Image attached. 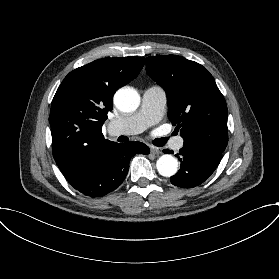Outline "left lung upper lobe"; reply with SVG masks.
<instances>
[{
  "mask_svg": "<svg viewBox=\"0 0 279 279\" xmlns=\"http://www.w3.org/2000/svg\"><path fill=\"white\" fill-rule=\"evenodd\" d=\"M146 71L166 91L168 117L184 145L223 153L228 143L227 105L208 70L184 57L166 55L148 57Z\"/></svg>",
  "mask_w": 279,
  "mask_h": 279,
  "instance_id": "5c2ea615",
  "label": "left lung upper lobe"
}]
</instances>
